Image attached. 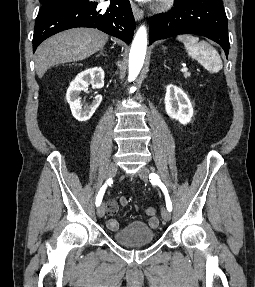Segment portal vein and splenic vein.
Listing matches in <instances>:
<instances>
[{
    "label": "portal vein and splenic vein",
    "instance_id": "portal-vein-and-splenic-vein-1",
    "mask_svg": "<svg viewBox=\"0 0 255 287\" xmlns=\"http://www.w3.org/2000/svg\"><path fill=\"white\" fill-rule=\"evenodd\" d=\"M181 72H188V68H186V64H183V68H182Z\"/></svg>",
    "mask_w": 255,
    "mask_h": 287
}]
</instances>
